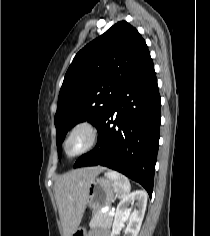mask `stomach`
I'll use <instances>...</instances> for the list:
<instances>
[{"label":"stomach","mask_w":210,"mask_h":236,"mask_svg":"<svg viewBox=\"0 0 210 236\" xmlns=\"http://www.w3.org/2000/svg\"><path fill=\"white\" fill-rule=\"evenodd\" d=\"M115 193L113 180L106 177L95 178L89 185L86 194V205L93 211L99 212L101 209L111 205ZM72 236H87L86 229L79 227Z\"/></svg>","instance_id":"1"}]
</instances>
